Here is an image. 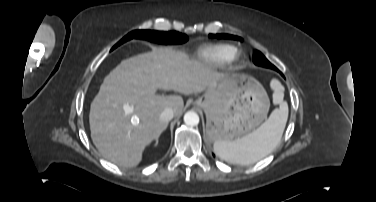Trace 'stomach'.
<instances>
[{"instance_id": "obj_1", "label": "stomach", "mask_w": 376, "mask_h": 202, "mask_svg": "<svg viewBox=\"0 0 376 202\" xmlns=\"http://www.w3.org/2000/svg\"><path fill=\"white\" fill-rule=\"evenodd\" d=\"M204 109L207 135L233 141L255 130L267 117L269 98L263 86L246 74L223 75L195 101Z\"/></svg>"}]
</instances>
